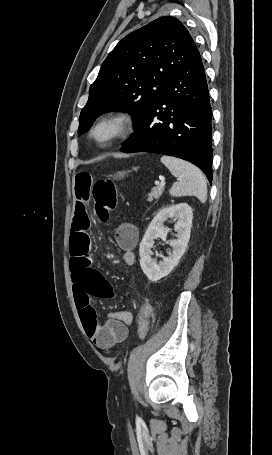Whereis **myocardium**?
Masks as SVG:
<instances>
[{
	"instance_id": "obj_1",
	"label": "myocardium",
	"mask_w": 272,
	"mask_h": 455,
	"mask_svg": "<svg viewBox=\"0 0 272 455\" xmlns=\"http://www.w3.org/2000/svg\"><path fill=\"white\" fill-rule=\"evenodd\" d=\"M103 126H110L112 134L105 140H98L96 132ZM135 130V119L127 111L107 112L99 116L91 125L88 136L95 146L101 149L109 148L115 143L127 138Z\"/></svg>"
}]
</instances>
